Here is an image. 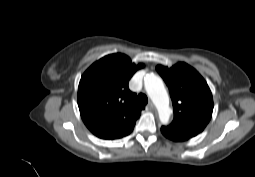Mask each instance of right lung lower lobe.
<instances>
[{"instance_id":"98d812e1","label":"right lung lower lobe","mask_w":255,"mask_h":177,"mask_svg":"<svg viewBox=\"0 0 255 177\" xmlns=\"http://www.w3.org/2000/svg\"><path fill=\"white\" fill-rule=\"evenodd\" d=\"M133 128H134V126L131 127L130 129H128L126 132H124L122 135H120V136L117 137V138H122V137H124V136L130 134V133L132 132ZM117 138H115V139H117Z\"/></svg>"}]
</instances>
